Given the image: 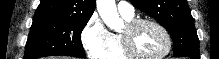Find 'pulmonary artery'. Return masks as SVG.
<instances>
[{"label": "pulmonary artery", "mask_w": 219, "mask_h": 59, "mask_svg": "<svg viewBox=\"0 0 219 59\" xmlns=\"http://www.w3.org/2000/svg\"><path fill=\"white\" fill-rule=\"evenodd\" d=\"M118 12L125 17H133L134 16V7L125 1H121L117 4Z\"/></svg>", "instance_id": "1"}]
</instances>
